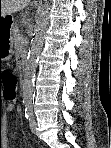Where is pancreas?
Returning a JSON list of instances; mask_svg holds the SVG:
<instances>
[{"mask_svg": "<svg viewBox=\"0 0 111 148\" xmlns=\"http://www.w3.org/2000/svg\"><path fill=\"white\" fill-rule=\"evenodd\" d=\"M13 35H14V37H15V45L17 46V47H22L23 46V44L21 43V41H23V40H21V39H23L22 38V35L19 33V31H18V27H16L14 30H13Z\"/></svg>", "mask_w": 111, "mask_h": 148, "instance_id": "obj_1", "label": "pancreas"}]
</instances>
